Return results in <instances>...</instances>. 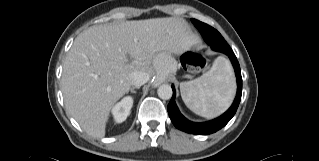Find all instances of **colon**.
Segmentation results:
<instances>
[{
    "label": "colon",
    "mask_w": 319,
    "mask_h": 161,
    "mask_svg": "<svg viewBox=\"0 0 319 161\" xmlns=\"http://www.w3.org/2000/svg\"><path fill=\"white\" fill-rule=\"evenodd\" d=\"M181 62L186 71L195 72L205 66L206 59L195 51H187L181 56Z\"/></svg>",
    "instance_id": "colon-1"
}]
</instances>
